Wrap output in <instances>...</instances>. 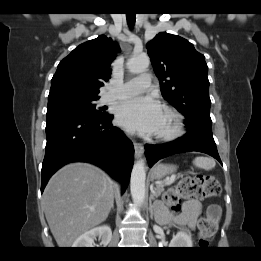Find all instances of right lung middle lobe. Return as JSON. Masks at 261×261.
<instances>
[{
    "mask_svg": "<svg viewBox=\"0 0 261 261\" xmlns=\"http://www.w3.org/2000/svg\"><path fill=\"white\" fill-rule=\"evenodd\" d=\"M99 97H85L73 93H62L48 98L47 118L63 114H81L92 117H100L101 113L95 101Z\"/></svg>",
    "mask_w": 261,
    "mask_h": 261,
    "instance_id": "1",
    "label": "right lung middle lobe"
}]
</instances>
